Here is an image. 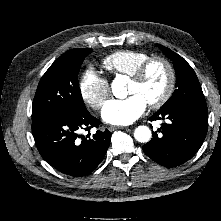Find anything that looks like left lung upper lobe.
I'll return each instance as SVG.
<instances>
[{"mask_svg": "<svg viewBox=\"0 0 221 221\" xmlns=\"http://www.w3.org/2000/svg\"><path fill=\"white\" fill-rule=\"evenodd\" d=\"M157 46L168 58L174 61L177 87L159 111L170 110L184 104H206L198 78L192 67L180 55L160 44Z\"/></svg>", "mask_w": 221, "mask_h": 221, "instance_id": "1", "label": "left lung upper lobe"}]
</instances>
